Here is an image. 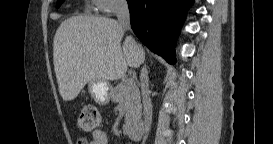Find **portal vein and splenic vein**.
<instances>
[{
  "instance_id": "1",
  "label": "portal vein and splenic vein",
  "mask_w": 273,
  "mask_h": 144,
  "mask_svg": "<svg viewBox=\"0 0 273 144\" xmlns=\"http://www.w3.org/2000/svg\"><path fill=\"white\" fill-rule=\"evenodd\" d=\"M135 86V81L133 79H128L127 81V87L132 88Z\"/></svg>"
}]
</instances>
